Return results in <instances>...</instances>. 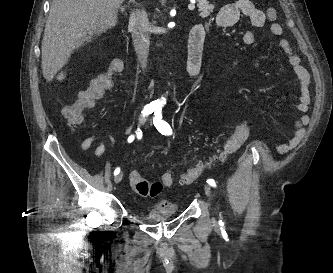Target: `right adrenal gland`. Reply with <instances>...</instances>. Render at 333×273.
<instances>
[{"label": "right adrenal gland", "mask_w": 333, "mask_h": 273, "mask_svg": "<svg viewBox=\"0 0 333 273\" xmlns=\"http://www.w3.org/2000/svg\"><path fill=\"white\" fill-rule=\"evenodd\" d=\"M120 10L124 13L125 12V7L124 6L120 7ZM125 15H127V14H125Z\"/></svg>", "instance_id": "right-adrenal-gland-1"}]
</instances>
